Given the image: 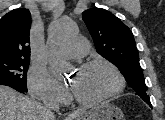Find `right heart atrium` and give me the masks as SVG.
I'll return each mask as SVG.
<instances>
[{"mask_svg":"<svg viewBox=\"0 0 165 120\" xmlns=\"http://www.w3.org/2000/svg\"><path fill=\"white\" fill-rule=\"evenodd\" d=\"M28 88L31 95L41 101L61 103L67 98L65 89L43 69L30 71Z\"/></svg>","mask_w":165,"mask_h":120,"instance_id":"right-heart-atrium-1","label":"right heart atrium"}]
</instances>
